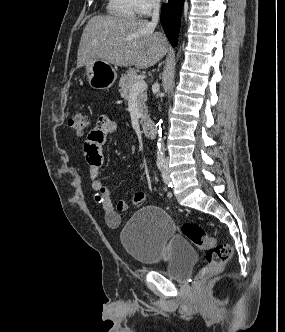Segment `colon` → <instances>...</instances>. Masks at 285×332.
Here are the masks:
<instances>
[{
    "mask_svg": "<svg viewBox=\"0 0 285 332\" xmlns=\"http://www.w3.org/2000/svg\"><path fill=\"white\" fill-rule=\"evenodd\" d=\"M69 126L77 135H83L89 127L88 116L81 111L75 112L69 119ZM182 232L196 247L205 251L206 264L199 272L200 279L218 272L230 261L231 246L209 237L200 224L187 222L182 226Z\"/></svg>",
    "mask_w": 285,
    "mask_h": 332,
    "instance_id": "colon-1",
    "label": "colon"
}]
</instances>
